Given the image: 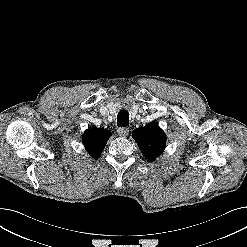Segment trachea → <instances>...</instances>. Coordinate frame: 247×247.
Here are the masks:
<instances>
[{"mask_svg":"<svg viewBox=\"0 0 247 247\" xmlns=\"http://www.w3.org/2000/svg\"><path fill=\"white\" fill-rule=\"evenodd\" d=\"M117 125L119 127H126L129 125V114L126 110H120L117 115Z\"/></svg>","mask_w":247,"mask_h":247,"instance_id":"1","label":"trachea"}]
</instances>
